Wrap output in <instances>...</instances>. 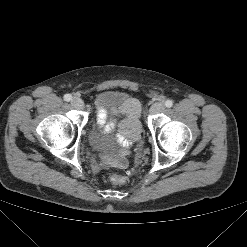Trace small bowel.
Masks as SVG:
<instances>
[{
  "label": "small bowel",
  "instance_id": "small-bowel-1",
  "mask_svg": "<svg viewBox=\"0 0 247 247\" xmlns=\"http://www.w3.org/2000/svg\"><path fill=\"white\" fill-rule=\"evenodd\" d=\"M139 109L140 105L136 99H129L124 108V129L133 136L136 135V132L139 129Z\"/></svg>",
  "mask_w": 247,
  "mask_h": 247
}]
</instances>
